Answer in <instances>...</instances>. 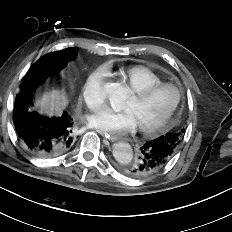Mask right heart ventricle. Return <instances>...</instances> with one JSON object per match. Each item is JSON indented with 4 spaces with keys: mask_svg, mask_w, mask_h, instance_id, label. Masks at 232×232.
Segmentation results:
<instances>
[{
    "mask_svg": "<svg viewBox=\"0 0 232 232\" xmlns=\"http://www.w3.org/2000/svg\"><path fill=\"white\" fill-rule=\"evenodd\" d=\"M119 76L132 91L162 82V79L155 72L141 65L122 68L119 71Z\"/></svg>",
    "mask_w": 232,
    "mask_h": 232,
    "instance_id": "e07e8e85",
    "label": "right heart ventricle"
}]
</instances>
